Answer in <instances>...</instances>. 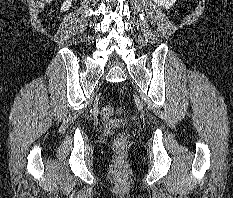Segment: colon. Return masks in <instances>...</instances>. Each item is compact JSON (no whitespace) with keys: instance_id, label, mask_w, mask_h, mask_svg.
<instances>
[{"instance_id":"colon-1","label":"colon","mask_w":233,"mask_h":198,"mask_svg":"<svg viewBox=\"0 0 233 198\" xmlns=\"http://www.w3.org/2000/svg\"><path fill=\"white\" fill-rule=\"evenodd\" d=\"M117 112L118 110L110 104H106L102 107V114L106 118L113 117ZM126 146L127 136L125 134H119L114 140V147L116 151L122 153L126 149Z\"/></svg>"}]
</instances>
